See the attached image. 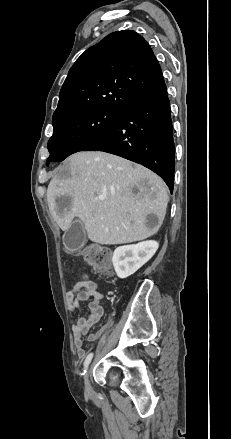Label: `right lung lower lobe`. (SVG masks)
<instances>
[{"mask_svg": "<svg viewBox=\"0 0 231 439\" xmlns=\"http://www.w3.org/2000/svg\"><path fill=\"white\" fill-rule=\"evenodd\" d=\"M83 151H104L139 163L173 190L175 146L166 87L133 102L117 123Z\"/></svg>", "mask_w": 231, "mask_h": 439, "instance_id": "right-lung-lower-lobe-1", "label": "right lung lower lobe"}]
</instances>
